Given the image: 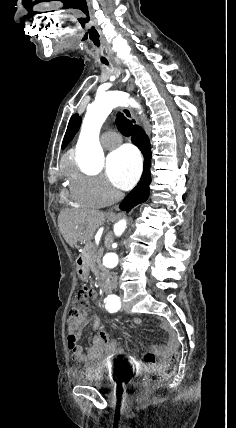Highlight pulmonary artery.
<instances>
[{
	"label": "pulmonary artery",
	"mask_w": 236,
	"mask_h": 428,
	"mask_svg": "<svg viewBox=\"0 0 236 428\" xmlns=\"http://www.w3.org/2000/svg\"><path fill=\"white\" fill-rule=\"evenodd\" d=\"M108 136H115V137H116V141H119V142H121V141H122L120 134H118V133H116V132H109V133H107V134L105 135V137H108ZM103 146H104L105 148H107V149H112V148H115V147H116V145H115V144H112V143H104V144H103Z\"/></svg>",
	"instance_id": "e3ab8cb5"
}]
</instances>
